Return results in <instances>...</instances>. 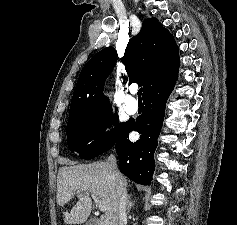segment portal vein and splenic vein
<instances>
[{
  "label": "portal vein and splenic vein",
  "instance_id": "obj_1",
  "mask_svg": "<svg viewBox=\"0 0 237 225\" xmlns=\"http://www.w3.org/2000/svg\"><path fill=\"white\" fill-rule=\"evenodd\" d=\"M94 202L96 203V206L101 210V211H106L107 207L105 204H103L95 194H91Z\"/></svg>",
  "mask_w": 237,
  "mask_h": 225
}]
</instances>
